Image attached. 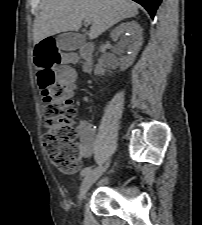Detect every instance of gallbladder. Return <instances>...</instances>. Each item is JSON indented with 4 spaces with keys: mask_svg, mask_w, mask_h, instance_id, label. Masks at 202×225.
Listing matches in <instances>:
<instances>
[{
    "mask_svg": "<svg viewBox=\"0 0 202 225\" xmlns=\"http://www.w3.org/2000/svg\"><path fill=\"white\" fill-rule=\"evenodd\" d=\"M84 38L81 34L75 32H66L56 37V45L60 50L74 51L81 47Z\"/></svg>",
    "mask_w": 202,
    "mask_h": 225,
    "instance_id": "1",
    "label": "gallbladder"
}]
</instances>
